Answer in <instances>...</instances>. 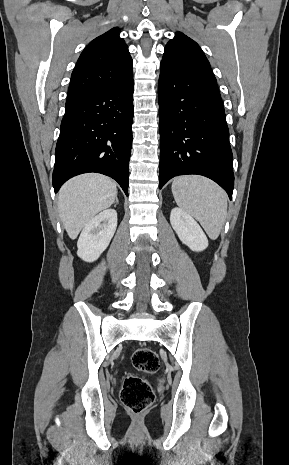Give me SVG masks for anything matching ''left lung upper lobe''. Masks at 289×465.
Returning <instances> with one entry per match:
<instances>
[{
	"label": "left lung upper lobe",
	"mask_w": 289,
	"mask_h": 465,
	"mask_svg": "<svg viewBox=\"0 0 289 465\" xmlns=\"http://www.w3.org/2000/svg\"><path fill=\"white\" fill-rule=\"evenodd\" d=\"M161 73L216 81L201 48L181 32H176L175 37L165 47Z\"/></svg>",
	"instance_id": "left-lung-upper-lobe-1"
}]
</instances>
